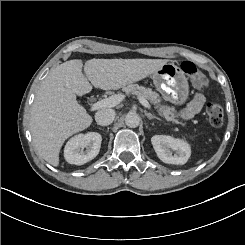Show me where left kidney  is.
I'll list each match as a JSON object with an SVG mask.
<instances>
[{"label":"left kidney","instance_id":"left-kidney-1","mask_svg":"<svg viewBox=\"0 0 245 245\" xmlns=\"http://www.w3.org/2000/svg\"><path fill=\"white\" fill-rule=\"evenodd\" d=\"M151 142L158 158L164 163L182 165L188 161L191 155L190 145L182 139L167 135H155L151 138Z\"/></svg>","mask_w":245,"mask_h":245}]
</instances>
